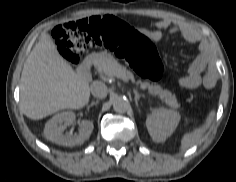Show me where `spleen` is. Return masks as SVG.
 Here are the masks:
<instances>
[{"instance_id": "3e777b00", "label": "spleen", "mask_w": 236, "mask_h": 182, "mask_svg": "<svg viewBox=\"0 0 236 182\" xmlns=\"http://www.w3.org/2000/svg\"><path fill=\"white\" fill-rule=\"evenodd\" d=\"M215 116V111L212 110L204 124L198 128H196L194 131L192 132H187L183 135L182 139H181V146H180V150H186L196 144H198L200 142V140L202 139L203 135L205 134L206 130L210 127L213 119Z\"/></svg>"}]
</instances>
